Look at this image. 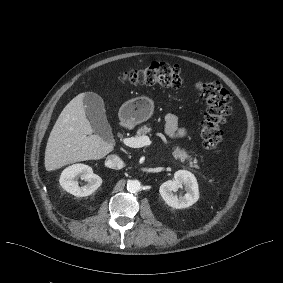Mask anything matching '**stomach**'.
Masks as SVG:
<instances>
[{"label": "stomach", "instance_id": "stomach-1", "mask_svg": "<svg viewBox=\"0 0 283 283\" xmlns=\"http://www.w3.org/2000/svg\"><path fill=\"white\" fill-rule=\"evenodd\" d=\"M154 109V101L141 96L131 99L119 111V117L123 125L133 127L134 125L148 120Z\"/></svg>", "mask_w": 283, "mask_h": 283}]
</instances>
